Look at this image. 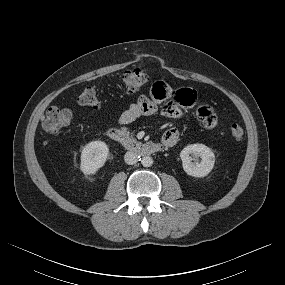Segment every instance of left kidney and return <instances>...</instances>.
I'll return each mask as SVG.
<instances>
[{"label": "left kidney", "instance_id": "obj_1", "mask_svg": "<svg viewBox=\"0 0 285 285\" xmlns=\"http://www.w3.org/2000/svg\"><path fill=\"white\" fill-rule=\"evenodd\" d=\"M200 157L199 163H193L192 157ZM184 171L193 177H205L214 167L215 155L212 150L204 144H191L186 146L180 153Z\"/></svg>", "mask_w": 285, "mask_h": 285}]
</instances>
